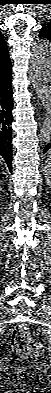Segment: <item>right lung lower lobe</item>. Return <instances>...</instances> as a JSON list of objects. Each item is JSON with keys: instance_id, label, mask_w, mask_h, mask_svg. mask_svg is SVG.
<instances>
[{"instance_id": "obj_1", "label": "right lung lower lobe", "mask_w": 51, "mask_h": 393, "mask_svg": "<svg viewBox=\"0 0 51 393\" xmlns=\"http://www.w3.org/2000/svg\"><path fill=\"white\" fill-rule=\"evenodd\" d=\"M12 69L0 75V156L12 171Z\"/></svg>"}]
</instances>
